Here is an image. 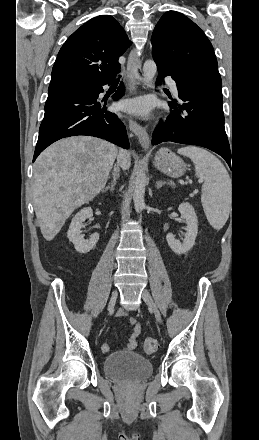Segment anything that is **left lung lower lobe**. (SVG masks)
<instances>
[{
    "label": "left lung lower lobe",
    "instance_id": "obj_1",
    "mask_svg": "<svg viewBox=\"0 0 259 440\" xmlns=\"http://www.w3.org/2000/svg\"><path fill=\"white\" fill-rule=\"evenodd\" d=\"M157 84L169 75L177 83L179 98L169 105L175 110L157 127L152 144L171 141L208 148L222 156L231 167V152L224 128L222 86L207 80L180 82L166 64L155 60ZM185 111V114L182 112Z\"/></svg>",
    "mask_w": 259,
    "mask_h": 440
}]
</instances>
